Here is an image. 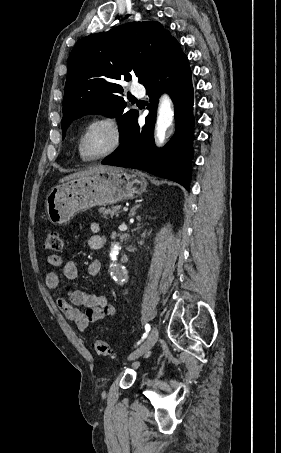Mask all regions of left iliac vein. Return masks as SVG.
<instances>
[{
	"mask_svg": "<svg viewBox=\"0 0 281 453\" xmlns=\"http://www.w3.org/2000/svg\"><path fill=\"white\" fill-rule=\"evenodd\" d=\"M158 334V331L154 328L149 334L147 340L138 347L137 351L131 352L127 357V360L129 362H132L138 356H142V353H148L149 348H151V346L154 345L155 341H157Z\"/></svg>",
	"mask_w": 281,
	"mask_h": 453,
	"instance_id": "obj_1",
	"label": "left iliac vein"
}]
</instances>
